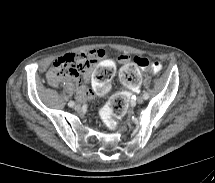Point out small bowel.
Segmentation results:
<instances>
[{"label": "small bowel", "instance_id": "obj_1", "mask_svg": "<svg viewBox=\"0 0 215 183\" xmlns=\"http://www.w3.org/2000/svg\"><path fill=\"white\" fill-rule=\"evenodd\" d=\"M120 63L129 62L127 54L118 57ZM102 61L97 68L95 66ZM56 62L70 63L74 66V72L54 79L52 70L47 74L49 84L57 87L60 82H76V97L84 102L87 99H105L109 97L114 88L113 76L116 73V66L106 58V53L102 49H91L86 53H69L60 57ZM94 70V71H93ZM90 79V90L86 87V82Z\"/></svg>", "mask_w": 215, "mask_h": 183}]
</instances>
